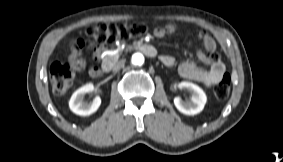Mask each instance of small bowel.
<instances>
[{
  "instance_id": "c3829d8e",
  "label": "small bowel",
  "mask_w": 283,
  "mask_h": 162,
  "mask_svg": "<svg viewBox=\"0 0 283 162\" xmlns=\"http://www.w3.org/2000/svg\"><path fill=\"white\" fill-rule=\"evenodd\" d=\"M175 31L176 26L174 24H167L164 27L155 28L154 35L160 38L167 34H173ZM200 38L203 41L205 51L199 50L197 57L202 63L208 65L209 68H202L193 62L187 61L179 66L178 71L183 78L198 81L206 86H212L217 84L225 75V65L219 58L214 56L216 50L214 39L204 31L200 32ZM84 47L93 48V56L97 59L99 57L104 59L108 56V51L105 49L104 45L95 47L91 40L78 38L71 46L68 57L69 64L74 70L80 71L86 66V62L81 53ZM161 61L167 66H172L175 62L174 58L170 55H162ZM89 75L92 78H100L103 75V70L100 67H91L89 69Z\"/></svg>"
}]
</instances>
